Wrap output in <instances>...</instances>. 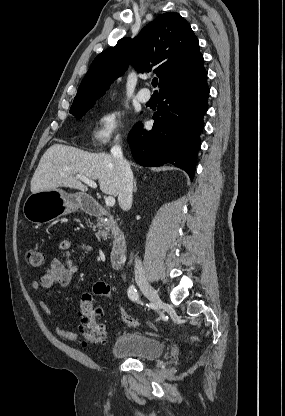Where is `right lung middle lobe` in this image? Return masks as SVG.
<instances>
[{
    "label": "right lung middle lobe",
    "mask_w": 285,
    "mask_h": 416,
    "mask_svg": "<svg viewBox=\"0 0 285 416\" xmlns=\"http://www.w3.org/2000/svg\"><path fill=\"white\" fill-rule=\"evenodd\" d=\"M92 106L93 103L85 107L70 109V113H72L77 119H80Z\"/></svg>",
    "instance_id": "obj_1"
}]
</instances>
